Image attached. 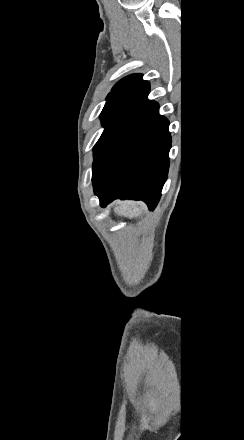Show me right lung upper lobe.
I'll use <instances>...</instances> for the list:
<instances>
[{
	"mask_svg": "<svg viewBox=\"0 0 244 440\" xmlns=\"http://www.w3.org/2000/svg\"><path fill=\"white\" fill-rule=\"evenodd\" d=\"M150 91L149 82L142 79L141 74H133L120 80L109 93L107 100L135 98L142 100Z\"/></svg>",
	"mask_w": 244,
	"mask_h": 440,
	"instance_id": "obj_1",
	"label": "right lung upper lobe"
}]
</instances>
